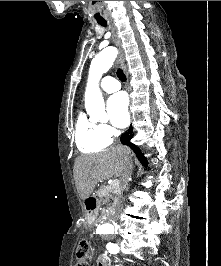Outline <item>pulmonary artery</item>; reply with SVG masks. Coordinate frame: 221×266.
<instances>
[{
    "instance_id": "e3ab8cb5",
    "label": "pulmonary artery",
    "mask_w": 221,
    "mask_h": 266,
    "mask_svg": "<svg viewBox=\"0 0 221 266\" xmlns=\"http://www.w3.org/2000/svg\"><path fill=\"white\" fill-rule=\"evenodd\" d=\"M120 83L113 77L106 76L100 83V88L106 93H113L120 89Z\"/></svg>"
}]
</instances>
